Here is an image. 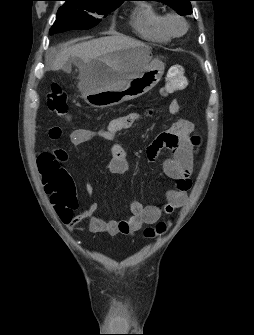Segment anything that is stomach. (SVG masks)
Wrapping results in <instances>:
<instances>
[{"instance_id": "0dacf381", "label": "stomach", "mask_w": 254, "mask_h": 335, "mask_svg": "<svg viewBox=\"0 0 254 335\" xmlns=\"http://www.w3.org/2000/svg\"><path fill=\"white\" fill-rule=\"evenodd\" d=\"M109 58L93 60L79 82L82 97L94 108H106L138 98L150 91L162 78L164 64L151 59L149 49L135 46L116 51ZM119 73L131 76L119 86H109Z\"/></svg>"}]
</instances>
